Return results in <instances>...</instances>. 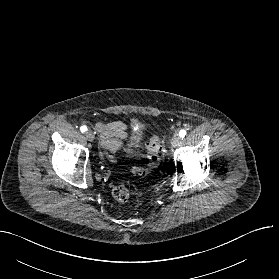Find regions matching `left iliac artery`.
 <instances>
[{"mask_svg": "<svg viewBox=\"0 0 279 279\" xmlns=\"http://www.w3.org/2000/svg\"><path fill=\"white\" fill-rule=\"evenodd\" d=\"M185 135H186V130L182 129V130L179 132V136H180L181 138H183Z\"/></svg>", "mask_w": 279, "mask_h": 279, "instance_id": "left-iliac-artery-1", "label": "left iliac artery"}]
</instances>
